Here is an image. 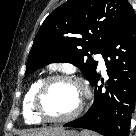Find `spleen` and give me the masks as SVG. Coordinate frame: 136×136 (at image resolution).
I'll list each match as a JSON object with an SVG mask.
<instances>
[{"instance_id":"3e777b00","label":"spleen","mask_w":136,"mask_h":136,"mask_svg":"<svg viewBox=\"0 0 136 136\" xmlns=\"http://www.w3.org/2000/svg\"><path fill=\"white\" fill-rule=\"evenodd\" d=\"M81 136H98V135L89 131H84Z\"/></svg>"}]
</instances>
